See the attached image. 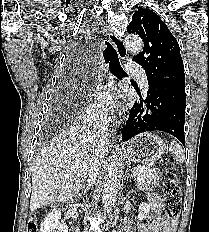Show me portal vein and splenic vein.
Listing matches in <instances>:
<instances>
[{"instance_id":"1","label":"portal vein and splenic vein","mask_w":209,"mask_h":232,"mask_svg":"<svg viewBox=\"0 0 209 232\" xmlns=\"http://www.w3.org/2000/svg\"><path fill=\"white\" fill-rule=\"evenodd\" d=\"M141 169H144V167H140ZM132 173H133V175H134V173H135V169L133 168L132 169Z\"/></svg>"}]
</instances>
